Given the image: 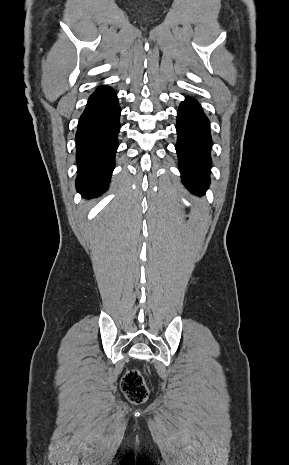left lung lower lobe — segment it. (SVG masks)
Here are the masks:
<instances>
[{
    "mask_svg": "<svg viewBox=\"0 0 289 465\" xmlns=\"http://www.w3.org/2000/svg\"><path fill=\"white\" fill-rule=\"evenodd\" d=\"M176 130L183 183L192 193L203 195L210 183L211 135L208 119L195 99L181 103Z\"/></svg>",
    "mask_w": 289,
    "mask_h": 465,
    "instance_id": "left-lung-lower-lobe-1",
    "label": "left lung lower lobe"
}]
</instances>
